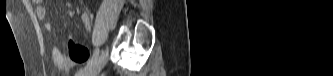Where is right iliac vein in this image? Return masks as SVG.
Wrapping results in <instances>:
<instances>
[{
    "mask_svg": "<svg viewBox=\"0 0 333 76\" xmlns=\"http://www.w3.org/2000/svg\"><path fill=\"white\" fill-rule=\"evenodd\" d=\"M107 57H108V52L107 51L103 52L102 55L98 58V60H96V62L93 64V66L84 71L81 76H95L97 73L101 71V69L107 63Z\"/></svg>",
    "mask_w": 333,
    "mask_h": 76,
    "instance_id": "obj_1",
    "label": "right iliac vein"
}]
</instances>
